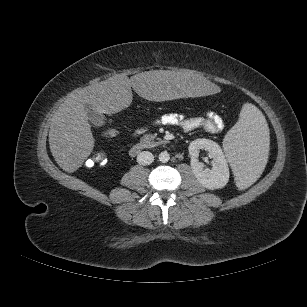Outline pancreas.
<instances>
[{"label": "pancreas", "mask_w": 307, "mask_h": 307, "mask_svg": "<svg viewBox=\"0 0 307 307\" xmlns=\"http://www.w3.org/2000/svg\"><path fill=\"white\" fill-rule=\"evenodd\" d=\"M156 138L155 135L153 134H144L142 137H141V142L143 143H150V142H153V140ZM156 144V143H154Z\"/></svg>", "instance_id": "1"}]
</instances>
